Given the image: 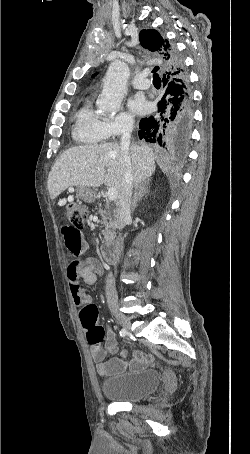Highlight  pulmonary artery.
Instances as JSON below:
<instances>
[{"mask_svg": "<svg viewBox=\"0 0 250 454\" xmlns=\"http://www.w3.org/2000/svg\"><path fill=\"white\" fill-rule=\"evenodd\" d=\"M151 85V82L149 79L145 77V74H141L137 76L133 81H132V86L135 89L138 90H144L147 89Z\"/></svg>", "mask_w": 250, "mask_h": 454, "instance_id": "obj_1", "label": "pulmonary artery"}]
</instances>
